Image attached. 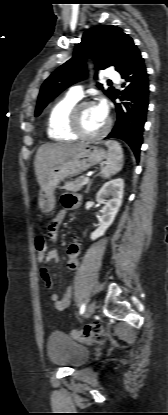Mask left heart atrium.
I'll return each mask as SVG.
<instances>
[{
	"label": "left heart atrium",
	"instance_id": "1",
	"mask_svg": "<svg viewBox=\"0 0 168 415\" xmlns=\"http://www.w3.org/2000/svg\"><path fill=\"white\" fill-rule=\"evenodd\" d=\"M95 106H96L98 113L101 115V117L107 118L108 108H107L105 101L101 100Z\"/></svg>",
	"mask_w": 168,
	"mask_h": 415
}]
</instances>
